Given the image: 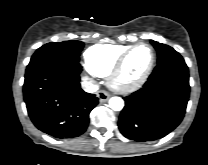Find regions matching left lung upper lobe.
<instances>
[{
    "instance_id": "obj_1",
    "label": "left lung upper lobe",
    "mask_w": 208,
    "mask_h": 165,
    "mask_svg": "<svg viewBox=\"0 0 208 165\" xmlns=\"http://www.w3.org/2000/svg\"><path fill=\"white\" fill-rule=\"evenodd\" d=\"M152 45L155 47V49L157 50V54H158V62L172 56L175 54H179L177 51H175L172 47L162 44V43H158L156 41H151Z\"/></svg>"
}]
</instances>
